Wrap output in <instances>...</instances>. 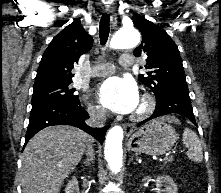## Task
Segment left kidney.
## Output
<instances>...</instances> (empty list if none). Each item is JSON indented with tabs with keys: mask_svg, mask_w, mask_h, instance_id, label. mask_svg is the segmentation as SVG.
Masks as SVG:
<instances>
[{
	"mask_svg": "<svg viewBox=\"0 0 221 193\" xmlns=\"http://www.w3.org/2000/svg\"><path fill=\"white\" fill-rule=\"evenodd\" d=\"M164 186L165 193H177L178 189L173 179L170 176H158L156 179V187L161 188Z\"/></svg>",
	"mask_w": 221,
	"mask_h": 193,
	"instance_id": "obj_1",
	"label": "left kidney"
}]
</instances>
